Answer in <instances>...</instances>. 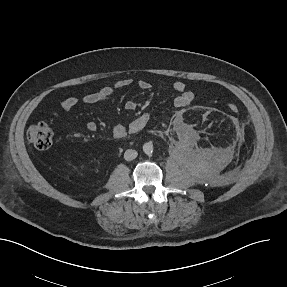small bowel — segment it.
Instances as JSON below:
<instances>
[{
    "instance_id": "c3829d8e",
    "label": "small bowel",
    "mask_w": 287,
    "mask_h": 287,
    "mask_svg": "<svg viewBox=\"0 0 287 287\" xmlns=\"http://www.w3.org/2000/svg\"><path fill=\"white\" fill-rule=\"evenodd\" d=\"M132 84V79L125 78L115 82L112 86H105L100 90L92 93H88L83 97H68L61 101L60 107L62 110H70L79 103H96L103 100H109L113 97L116 91L126 88ZM138 86L142 90L152 89V85L145 80H140ZM162 90H168L176 93V96L173 100V105L176 108H183L188 106L194 99V94L191 90L187 89L186 85L182 81H174L172 84L162 87ZM137 107L136 103L132 100H129L125 103V108L129 111L135 110ZM151 119L150 114L144 113L139 117L135 118L128 125H123L118 122L113 121L110 126V132L113 138L115 139H124L129 135L137 134L143 131L149 124ZM60 122H63L61 120ZM87 129L89 131H95L97 125L94 122H89L87 124Z\"/></svg>"
}]
</instances>
